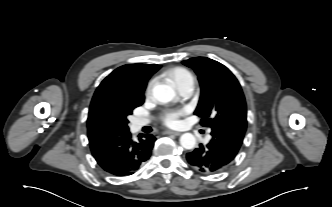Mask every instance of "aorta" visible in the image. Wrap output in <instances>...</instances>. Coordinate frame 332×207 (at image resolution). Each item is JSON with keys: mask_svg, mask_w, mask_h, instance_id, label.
Segmentation results:
<instances>
[{"mask_svg": "<svg viewBox=\"0 0 332 207\" xmlns=\"http://www.w3.org/2000/svg\"><path fill=\"white\" fill-rule=\"evenodd\" d=\"M154 98L161 103H168L175 98V91L169 85L158 84L153 87ZM180 144L185 149H193L196 145V138L191 133H184L180 137Z\"/></svg>", "mask_w": 332, "mask_h": 207, "instance_id": "obj_1", "label": "aorta"}]
</instances>
